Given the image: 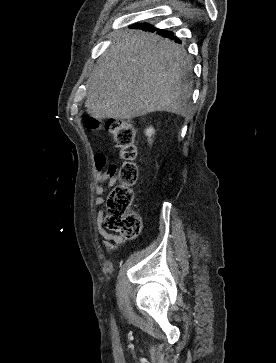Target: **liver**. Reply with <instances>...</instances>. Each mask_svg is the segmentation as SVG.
<instances>
[{
	"label": "liver",
	"mask_w": 276,
	"mask_h": 363,
	"mask_svg": "<svg viewBox=\"0 0 276 363\" xmlns=\"http://www.w3.org/2000/svg\"><path fill=\"white\" fill-rule=\"evenodd\" d=\"M192 62L184 48L144 31H127L99 58L85 107L96 120L131 119L156 111L188 117Z\"/></svg>",
	"instance_id": "liver-1"
}]
</instances>
